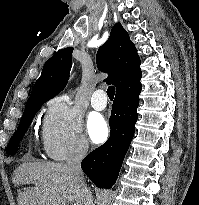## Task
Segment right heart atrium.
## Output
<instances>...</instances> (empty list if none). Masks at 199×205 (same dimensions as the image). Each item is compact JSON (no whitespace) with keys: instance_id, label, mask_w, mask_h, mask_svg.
Masks as SVG:
<instances>
[{"instance_id":"obj_1","label":"right heart atrium","mask_w":199,"mask_h":205,"mask_svg":"<svg viewBox=\"0 0 199 205\" xmlns=\"http://www.w3.org/2000/svg\"><path fill=\"white\" fill-rule=\"evenodd\" d=\"M42 143L46 155L56 161L87 154L88 142L80 117L68 98L58 96L48 102L42 123Z\"/></svg>"}]
</instances>
